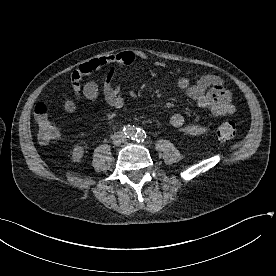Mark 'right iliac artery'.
I'll use <instances>...</instances> for the list:
<instances>
[{
    "mask_svg": "<svg viewBox=\"0 0 276 276\" xmlns=\"http://www.w3.org/2000/svg\"><path fill=\"white\" fill-rule=\"evenodd\" d=\"M124 129V133L126 134V135H128V138H132V139H134L136 136H137V131H136V129L137 128H134V126H130V125H128V126H124L123 127Z\"/></svg>",
    "mask_w": 276,
    "mask_h": 276,
    "instance_id": "right-iliac-artery-1",
    "label": "right iliac artery"
}]
</instances>
